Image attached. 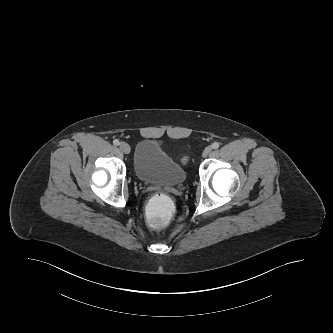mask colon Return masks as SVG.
I'll return each mask as SVG.
<instances>
[{"mask_svg": "<svg viewBox=\"0 0 333 333\" xmlns=\"http://www.w3.org/2000/svg\"><path fill=\"white\" fill-rule=\"evenodd\" d=\"M173 208V201L167 194H155L145 209L146 222L153 229L165 230L174 218Z\"/></svg>", "mask_w": 333, "mask_h": 333, "instance_id": "1", "label": "colon"}]
</instances>
